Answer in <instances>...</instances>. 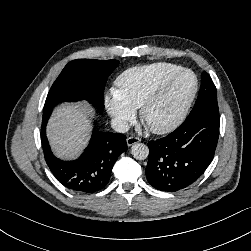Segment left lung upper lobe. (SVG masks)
<instances>
[{
  "label": "left lung upper lobe",
  "instance_id": "obj_1",
  "mask_svg": "<svg viewBox=\"0 0 251 251\" xmlns=\"http://www.w3.org/2000/svg\"><path fill=\"white\" fill-rule=\"evenodd\" d=\"M202 115L219 117L216 87L210 75L205 71L202 73L201 87L198 98L189 114V117H197Z\"/></svg>",
  "mask_w": 251,
  "mask_h": 251
}]
</instances>
